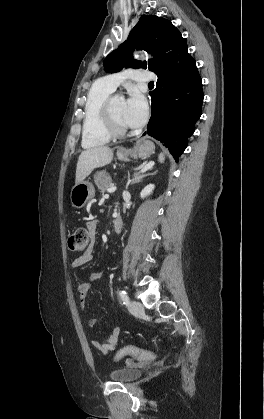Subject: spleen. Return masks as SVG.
I'll return each instance as SVG.
<instances>
[{"mask_svg": "<svg viewBox=\"0 0 264 419\" xmlns=\"http://www.w3.org/2000/svg\"><path fill=\"white\" fill-rule=\"evenodd\" d=\"M159 161L161 163L164 161V155L162 153L159 155Z\"/></svg>", "mask_w": 264, "mask_h": 419, "instance_id": "obj_1", "label": "spleen"}]
</instances>
